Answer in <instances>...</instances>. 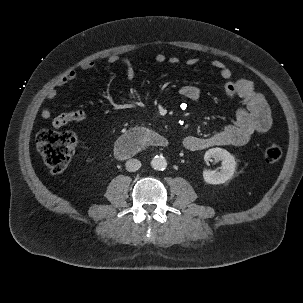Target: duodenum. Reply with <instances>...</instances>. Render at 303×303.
<instances>
[{
    "label": "duodenum",
    "mask_w": 303,
    "mask_h": 303,
    "mask_svg": "<svg viewBox=\"0 0 303 303\" xmlns=\"http://www.w3.org/2000/svg\"><path fill=\"white\" fill-rule=\"evenodd\" d=\"M168 145V139L160 133L148 128H136L117 140L114 153L118 158L127 159L146 146L166 148Z\"/></svg>",
    "instance_id": "1"
}]
</instances>
